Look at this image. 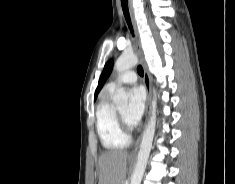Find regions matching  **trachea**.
<instances>
[{"label": "trachea", "mask_w": 235, "mask_h": 184, "mask_svg": "<svg viewBox=\"0 0 235 184\" xmlns=\"http://www.w3.org/2000/svg\"><path fill=\"white\" fill-rule=\"evenodd\" d=\"M121 5H122V8H123V12H124V15H125V19L127 21V24L129 26V29L131 32H133L134 34V31H133V26L131 24V20H130V16H129V10H128V2L127 0H121ZM137 72L139 75H141V77H143V68L141 65H139L137 67Z\"/></svg>", "instance_id": "1"}]
</instances>
